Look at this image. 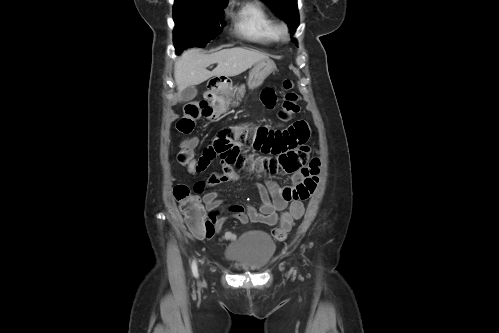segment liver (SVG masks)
Here are the masks:
<instances>
[{
  "label": "liver",
  "mask_w": 499,
  "mask_h": 333,
  "mask_svg": "<svg viewBox=\"0 0 499 333\" xmlns=\"http://www.w3.org/2000/svg\"><path fill=\"white\" fill-rule=\"evenodd\" d=\"M266 59L269 57L265 53L241 47L222 49L209 55L200 53L198 49H188L175 63L174 78L178 91L182 92L213 76H237ZM214 63H217V67L212 71L207 70Z\"/></svg>",
  "instance_id": "1"
}]
</instances>
